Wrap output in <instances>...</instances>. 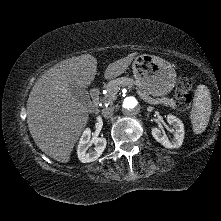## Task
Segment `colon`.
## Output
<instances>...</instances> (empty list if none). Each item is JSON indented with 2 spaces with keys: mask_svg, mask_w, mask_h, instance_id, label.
<instances>
[{
  "mask_svg": "<svg viewBox=\"0 0 221 221\" xmlns=\"http://www.w3.org/2000/svg\"><path fill=\"white\" fill-rule=\"evenodd\" d=\"M193 84H194L193 80L187 76L179 77L176 83V90H175L176 103L181 110L185 111L190 109L191 107L192 104L191 90L193 88Z\"/></svg>",
  "mask_w": 221,
  "mask_h": 221,
  "instance_id": "colon-1",
  "label": "colon"
}]
</instances>
